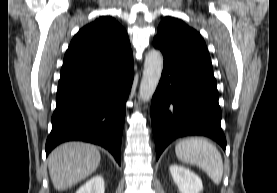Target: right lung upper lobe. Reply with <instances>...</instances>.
<instances>
[{
	"label": "right lung upper lobe",
	"mask_w": 277,
	"mask_h": 193,
	"mask_svg": "<svg viewBox=\"0 0 277 193\" xmlns=\"http://www.w3.org/2000/svg\"><path fill=\"white\" fill-rule=\"evenodd\" d=\"M130 55L124 28L113 17H99L72 39L64 56L60 80L108 68Z\"/></svg>",
	"instance_id": "obj_1"
}]
</instances>
